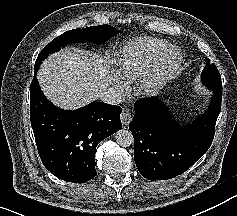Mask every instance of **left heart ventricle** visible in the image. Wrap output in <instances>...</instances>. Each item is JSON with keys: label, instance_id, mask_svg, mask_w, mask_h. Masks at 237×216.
<instances>
[{"label": "left heart ventricle", "instance_id": "1", "mask_svg": "<svg viewBox=\"0 0 237 216\" xmlns=\"http://www.w3.org/2000/svg\"><path fill=\"white\" fill-rule=\"evenodd\" d=\"M176 64V56L174 52H170L167 57L166 60L164 62V71H166V73L171 72Z\"/></svg>", "mask_w": 237, "mask_h": 216}]
</instances>
